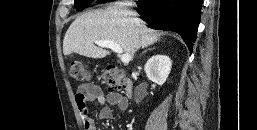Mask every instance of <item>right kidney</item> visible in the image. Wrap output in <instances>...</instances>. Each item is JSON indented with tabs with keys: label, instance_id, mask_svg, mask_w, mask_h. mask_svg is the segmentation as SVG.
<instances>
[{
	"label": "right kidney",
	"instance_id": "right-kidney-1",
	"mask_svg": "<svg viewBox=\"0 0 257 130\" xmlns=\"http://www.w3.org/2000/svg\"><path fill=\"white\" fill-rule=\"evenodd\" d=\"M172 61L165 55H154L145 64L144 70L149 80L162 86L171 71Z\"/></svg>",
	"mask_w": 257,
	"mask_h": 130
}]
</instances>
